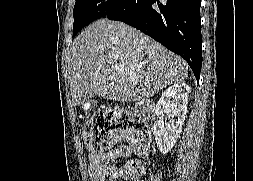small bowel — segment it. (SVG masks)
<instances>
[{
  "mask_svg": "<svg viewBox=\"0 0 253 181\" xmlns=\"http://www.w3.org/2000/svg\"><path fill=\"white\" fill-rule=\"evenodd\" d=\"M131 153L132 147L126 144L105 152H92L89 155L91 181H112L115 175L121 173L115 165L117 160L129 157Z\"/></svg>",
  "mask_w": 253,
  "mask_h": 181,
  "instance_id": "1",
  "label": "small bowel"
}]
</instances>
